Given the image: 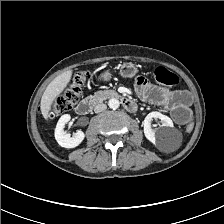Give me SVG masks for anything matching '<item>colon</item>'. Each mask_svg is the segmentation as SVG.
I'll return each instance as SVG.
<instances>
[{
  "mask_svg": "<svg viewBox=\"0 0 224 224\" xmlns=\"http://www.w3.org/2000/svg\"><path fill=\"white\" fill-rule=\"evenodd\" d=\"M155 80L166 86H174L178 84V76L166 69L165 67L159 66L154 71ZM86 81V75L84 73H77L71 83L65 88V90L56 97L50 108V115L52 117L60 115L69 109H71L78 101L82 88ZM180 118H188L189 114L187 111H183L180 114ZM193 124L189 123L186 127L187 131H191Z\"/></svg>",
  "mask_w": 224,
  "mask_h": 224,
  "instance_id": "obj_1",
  "label": "colon"
}]
</instances>
